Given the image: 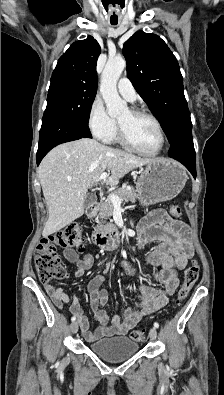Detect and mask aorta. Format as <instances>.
Returning a JSON list of instances; mask_svg holds the SVG:
<instances>
[{"label": "aorta", "mask_w": 224, "mask_h": 395, "mask_svg": "<svg viewBox=\"0 0 224 395\" xmlns=\"http://www.w3.org/2000/svg\"><path fill=\"white\" fill-rule=\"evenodd\" d=\"M125 67V59L116 57L107 61L102 72L100 93L111 117H117L128 110L127 103L121 99L117 91V81Z\"/></svg>", "instance_id": "obj_1"}]
</instances>
